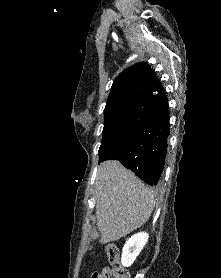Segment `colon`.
I'll list each match as a JSON object with an SVG mask.
<instances>
[{"label": "colon", "instance_id": "1", "mask_svg": "<svg viewBox=\"0 0 221 278\" xmlns=\"http://www.w3.org/2000/svg\"><path fill=\"white\" fill-rule=\"evenodd\" d=\"M106 253L111 266L103 268L100 272H94L91 278H129L128 271L120 262V254L117 246L108 244L106 246Z\"/></svg>", "mask_w": 221, "mask_h": 278}]
</instances>
